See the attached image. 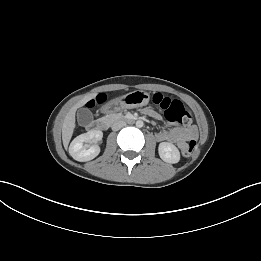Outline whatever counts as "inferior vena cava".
<instances>
[{
	"instance_id": "inferior-vena-cava-1",
	"label": "inferior vena cava",
	"mask_w": 261,
	"mask_h": 261,
	"mask_svg": "<svg viewBox=\"0 0 261 261\" xmlns=\"http://www.w3.org/2000/svg\"><path fill=\"white\" fill-rule=\"evenodd\" d=\"M125 125H126L125 121L118 120V121L114 122V124L112 125V130L113 131H118L121 128H123Z\"/></svg>"
}]
</instances>
